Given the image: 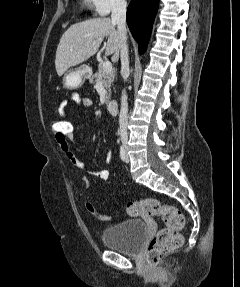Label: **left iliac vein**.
I'll use <instances>...</instances> for the list:
<instances>
[{"label": "left iliac vein", "mask_w": 240, "mask_h": 287, "mask_svg": "<svg viewBox=\"0 0 240 287\" xmlns=\"http://www.w3.org/2000/svg\"><path fill=\"white\" fill-rule=\"evenodd\" d=\"M125 160H126V162H129V156H128V154H127V153H126Z\"/></svg>", "instance_id": "obj_1"}]
</instances>
